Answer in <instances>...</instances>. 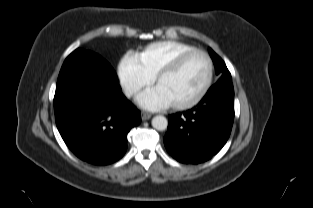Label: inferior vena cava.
<instances>
[{
  "mask_svg": "<svg viewBox=\"0 0 313 208\" xmlns=\"http://www.w3.org/2000/svg\"><path fill=\"white\" fill-rule=\"evenodd\" d=\"M138 92V89L137 88H134V87H126L124 89V93L127 97H131L132 95H134L135 93Z\"/></svg>",
  "mask_w": 313,
  "mask_h": 208,
  "instance_id": "obj_1",
  "label": "inferior vena cava"
}]
</instances>
